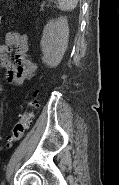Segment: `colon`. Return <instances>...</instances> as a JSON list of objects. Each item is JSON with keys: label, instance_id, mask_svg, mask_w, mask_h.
Wrapping results in <instances>:
<instances>
[{"label": "colon", "instance_id": "1", "mask_svg": "<svg viewBox=\"0 0 119 185\" xmlns=\"http://www.w3.org/2000/svg\"><path fill=\"white\" fill-rule=\"evenodd\" d=\"M36 106L37 100L36 96L34 95L26 102V106L23 112L19 115L18 120L13 125L12 130L7 137V145L9 147L13 146L15 143L21 140L26 130L29 128L33 118V109Z\"/></svg>", "mask_w": 119, "mask_h": 185}]
</instances>
